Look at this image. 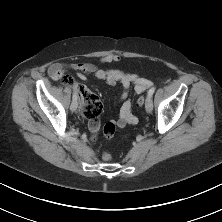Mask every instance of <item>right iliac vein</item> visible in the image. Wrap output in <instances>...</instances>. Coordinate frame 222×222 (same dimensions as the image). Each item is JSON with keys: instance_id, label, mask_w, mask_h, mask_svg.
Returning <instances> with one entry per match:
<instances>
[{"instance_id": "63e3f726", "label": "right iliac vein", "mask_w": 222, "mask_h": 222, "mask_svg": "<svg viewBox=\"0 0 222 222\" xmlns=\"http://www.w3.org/2000/svg\"><path fill=\"white\" fill-rule=\"evenodd\" d=\"M77 107H78L77 101H73L71 103L70 109H71V111L75 112V111H77Z\"/></svg>"}]
</instances>
